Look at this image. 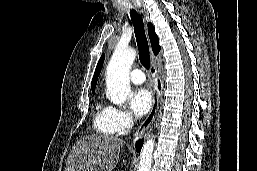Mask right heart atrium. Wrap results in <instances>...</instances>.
Listing matches in <instances>:
<instances>
[{
    "instance_id": "d8ad5b80",
    "label": "right heart atrium",
    "mask_w": 257,
    "mask_h": 171,
    "mask_svg": "<svg viewBox=\"0 0 257 171\" xmlns=\"http://www.w3.org/2000/svg\"><path fill=\"white\" fill-rule=\"evenodd\" d=\"M111 111L113 114L114 122L121 132L131 128L134 123V119L129 111L119 107H111Z\"/></svg>"
}]
</instances>
